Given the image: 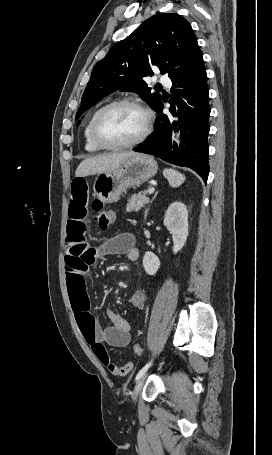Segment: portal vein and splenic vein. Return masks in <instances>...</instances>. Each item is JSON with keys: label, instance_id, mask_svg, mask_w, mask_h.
Instances as JSON below:
<instances>
[{"label": "portal vein and splenic vein", "instance_id": "obj_1", "mask_svg": "<svg viewBox=\"0 0 272 455\" xmlns=\"http://www.w3.org/2000/svg\"><path fill=\"white\" fill-rule=\"evenodd\" d=\"M154 191H155L154 187H150V188L148 189V193H149V194L154 193Z\"/></svg>", "mask_w": 272, "mask_h": 455}]
</instances>
